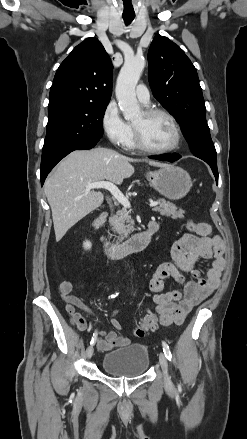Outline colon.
<instances>
[{
  "mask_svg": "<svg viewBox=\"0 0 247 439\" xmlns=\"http://www.w3.org/2000/svg\"><path fill=\"white\" fill-rule=\"evenodd\" d=\"M187 229L189 231L195 232L200 229L199 223L194 222H188L187 223ZM159 323V315L155 313L154 311L148 312L138 327L135 330V334L138 337H143L149 330L155 329L158 326Z\"/></svg>",
  "mask_w": 247,
  "mask_h": 439,
  "instance_id": "5ec220e1",
  "label": "colon"
}]
</instances>
